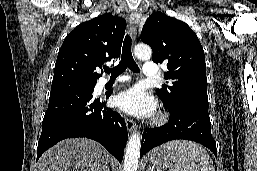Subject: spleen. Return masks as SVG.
<instances>
[{"label":"spleen","instance_id":"3e777b00","mask_svg":"<svg viewBox=\"0 0 257 171\" xmlns=\"http://www.w3.org/2000/svg\"><path fill=\"white\" fill-rule=\"evenodd\" d=\"M177 157L172 171H215L207 151L199 144L187 140H174L164 144Z\"/></svg>","mask_w":257,"mask_h":171}]
</instances>
